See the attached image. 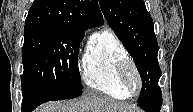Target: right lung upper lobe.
Wrapping results in <instances>:
<instances>
[{"mask_svg": "<svg viewBox=\"0 0 193 112\" xmlns=\"http://www.w3.org/2000/svg\"><path fill=\"white\" fill-rule=\"evenodd\" d=\"M103 25L97 0H34L25 20V31L60 28L86 31Z\"/></svg>", "mask_w": 193, "mask_h": 112, "instance_id": "cb5924a9", "label": "right lung upper lobe"}]
</instances>
